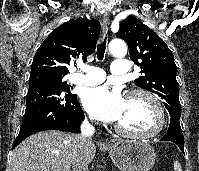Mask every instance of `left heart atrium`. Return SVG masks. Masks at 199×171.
I'll return each mask as SVG.
<instances>
[{
  "label": "left heart atrium",
  "mask_w": 199,
  "mask_h": 171,
  "mask_svg": "<svg viewBox=\"0 0 199 171\" xmlns=\"http://www.w3.org/2000/svg\"><path fill=\"white\" fill-rule=\"evenodd\" d=\"M85 109L106 122H117L125 109L126 99L118 88L101 85L86 89L82 95Z\"/></svg>",
  "instance_id": "39dd6f15"
}]
</instances>
